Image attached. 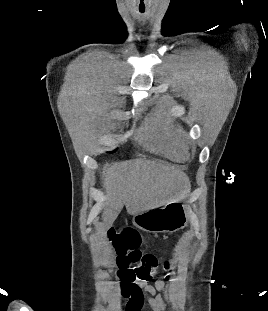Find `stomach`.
<instances>
[{
  "label": "stomach",
  "instance_id": "1",
  "mask_svg": "<svg viewBox=\"0 0 268 311\" xmlns=\"http://www.w3.org/2000/svg\"><path fill=\"white\" fill-rule=\"evenodd\" d=\"M132 221L137 228L146 232H176L188 224V207L178 199L164 207L139 212L133 216Z\"/></svg>",
  "mask_w": 268,
  "mask_h": 311
}]
</instances>
